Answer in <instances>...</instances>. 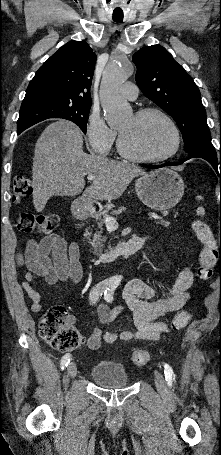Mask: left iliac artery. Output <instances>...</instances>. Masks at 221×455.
<instances>
[{"instance_id":"obj_1","label":"left iliac artery","mask_w":221,"mask_h":455,"mask_svg":"<svg viewBox=\"0 0 221 455\" xmlns=\"http://www.w3.org/2000/svg\"><path fill=\"white\" fill-rule=\"evenodd\" d=\"M115 287L114 286H109L107 290L104 293V299L107 302H112L113 301V294H114ZM164 374H165V379L168 383V385L171 387L172 386V377H173V370L170 365L164 364Z\"/></svg>"}]
</instances>
